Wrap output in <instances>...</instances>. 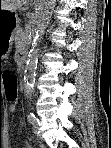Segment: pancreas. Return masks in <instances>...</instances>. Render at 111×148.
<instances>
[{
	"mask_svg": "<svg viewBox=\"0 0 111 148\" xmlns=\"http://www.w3.org/2000/svg\"><path fill=\"white\" fill-rule=\"evenodd\" d=\"M26 36H27L26 32H23L21 30H17L16 35H15V39L18 41H20V40L26 41L27 40V38H25Z\"/></svg>",
	"mask_w": 111,
	"mask_h": 148,
	"instance_id": "obj_1",
	"label": "pancreas"
}]
</instances>
